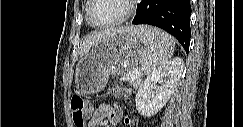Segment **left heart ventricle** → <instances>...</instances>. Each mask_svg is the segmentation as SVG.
<instances>
[{"label":"left heart ventricle","mask_w":243,"mask_h":127,"mask_svg":"<svg viewBox=\"0 0 243 127\" xmlns=\"http://www.w3.org/2000/svg\"><path fill=\"white\" fill-rule=\"evenodd\" d=\"M125 11L124 0H94L90 13L93 22L102 24L121 17Z\"/></svg>","instance_id":"left-heart-ventricle-1"}]
</instances>
